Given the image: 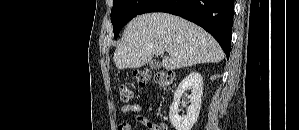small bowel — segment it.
I'll return each instance as SVG.
<instances>
[{"mask_svg": "<svg viewBox=\"0 0 299 130\" xmlns=\"http://www.w3.org/2000/svg\"><path fill=\"white\" fill-rule=\"evenodd\" d=\"M120 112L122 114L133 113L136 122L148 128L149 130H156V128H162L164 130H167L165 126H158L151 122L148 118H146L141 113V107L138 104L124 105L121 107ZM117 130H131V126L129 123L123 122L118 125Z\"/></svg>", "mask_w": 299, "mask_h": 130, "instance_id": "1", "label": "small bowel"}]
</instances>
